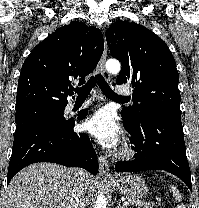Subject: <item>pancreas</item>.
<instances>
[{
    "label": "pancreas",
    "mask_w": 199,
    "mask_h": 208,
    "mask_svg": "<svg viewBox=\"0 0 199 208\" xmlns=\"http://www.w3.org/2000/svg\"><path fill=\"white\" fill-rule=\"evenodd\" d=\"M129 204L132 205V206H136V207H143V208H153L152 204L151 203H147V202H144L143 200H136V199H130L129 200Z\"/></svg>",
    "instance_id": "cf45deb5"
}]
</instances>
